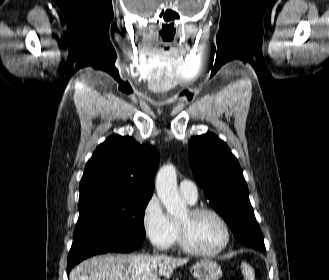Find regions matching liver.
I'll list each match as a JSON object with an SVG mask.
<instances>
[{
  "label": "liver",
  "instance_id": "obj_1",
  "mask_svg": "<svg viewBox=\"0 0 329 280\" xmlns=\"http://www.w3.org/2000/svg\"><path fill=\"white\" fill-rule=\"evenodd\" d=\"M188 259L166 255L105 254L83 261L75 267L69 280H161L168 279L174 269Z\"/></svg>",
  "mask_w": 329,
  "mask_h": 280
}]
</instances>
